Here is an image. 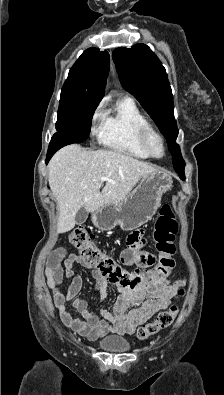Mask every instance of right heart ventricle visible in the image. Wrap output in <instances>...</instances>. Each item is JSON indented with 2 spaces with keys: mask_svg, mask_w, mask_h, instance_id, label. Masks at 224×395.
<instances>
[{
  "mask_svg": "<svg viewBox=\"0 0 224 395\" xmlns=\"http://www.w3.org/2000/svg\"><path fill=\"white\" fill-rule=\"evenodd\" d=\"M147 120L135 102L128 97L117 101L114 109L107 113L99 136L106 147L126 155L147 159L150 156L137 138V129Z\"/></svg>",
  "mask_w": 224,
  "mask_h": 395,
  "instance_id": "right-heart-ventricle-1",
  "label": "right heart ventricle"
}]
</instances>
